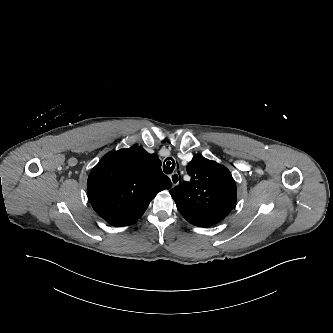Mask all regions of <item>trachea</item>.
Here are the masks:
<instances>
[{
	"instance_id": "obj_1",
	"label": "trachea",
	"mask_w": 333,
	"mask_h": 333,
	"mask_svg": "<svg viewBox=\"0 0 333 333\" xmlns=\"http://www.w3.org/2000/svg\"><path fill=\"white\" fill-rule=\"evenodd\" d=\"M164 162H166V163H163V171L166 174H171L176 167L174 159L172 157H168L165 159Z\"/></svg>"
}]
</instances>
